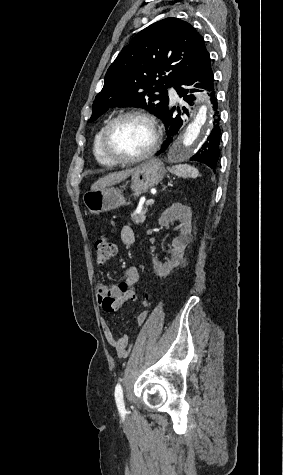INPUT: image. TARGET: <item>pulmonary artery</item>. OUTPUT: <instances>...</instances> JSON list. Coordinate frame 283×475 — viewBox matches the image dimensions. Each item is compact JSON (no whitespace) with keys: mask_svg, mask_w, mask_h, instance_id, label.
Here are the masks:
<instances>
[{"mask_svg":"<svg viewBox=\"0 0 283 475\" xmlns=\"http://www.w3.org/2000/svg\"><path fill=\"white\" fill-rule=\"evenodd\" d=\"M167 94L170 96L171 100L176 101L178 99L176 95V89L174 87H169L167 89Z\"/></svg>","mask_w":283,"mask_h":475,"instance_id":"e3ab8cb5","label":"pulmonary artery"}]
</instances>
